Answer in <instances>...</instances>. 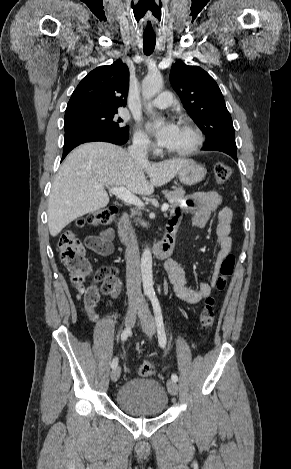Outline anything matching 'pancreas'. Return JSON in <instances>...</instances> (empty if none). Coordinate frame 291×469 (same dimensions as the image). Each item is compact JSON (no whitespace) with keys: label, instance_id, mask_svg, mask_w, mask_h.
<instances>
[{"label":"pancreas","instance_id":"obj_1","mask_svg":"<svg viewBox=\"0 0 291 469\" xmlns=\"http://www.w3.org/2000/svg\"><path fill=\"white\" fill-rule=\"evenodd\" d=\"M163 194L170 201L171 207H175L184 199L185 191L179 188L173 191L165 190Z\"/></svg>","mask_w":291,"mask_h":469}]
</instances>
